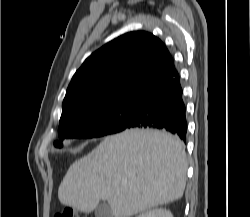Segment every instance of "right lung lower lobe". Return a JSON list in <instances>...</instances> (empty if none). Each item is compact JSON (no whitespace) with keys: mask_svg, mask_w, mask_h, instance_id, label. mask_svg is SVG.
Segmentation results:
<instances>
[{"mask_svg":"<svg viewBox=\"0 0 250 217\" xmlns=\"http://www.w3.org/2000/svg\"><path fill=\"white\" fill-rule=\"evenodd\" d=\"M136 101V109L127 128L164 129L186 142V107L177 71L163 83L144 92Z\"/></svg>","mask_w":250,"mask_h":217,"instance_id":"98d812e1","label":"right lung lower lobe"}]
</instances>
